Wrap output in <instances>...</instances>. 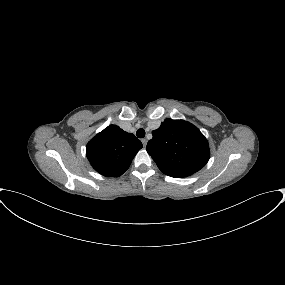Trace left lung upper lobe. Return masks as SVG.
<instances>
[{"instance_id":"5c2ea615","label":"left lung upper lobe","mask_w":285,"mask_h":285,"mask_svg":"<svg viewBox=\"0 0 285 285\" xmlns=\"http://www.w3.org/2000/svg\"><path fill=\"white\" fill-rule=\"evenodd\" d=\"M152 135L146 150L158 168L168 176H190L203 168L209 160L206 138L189 122L165 119Z\"/></svg>"}]
</instances>
